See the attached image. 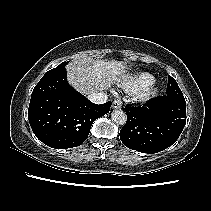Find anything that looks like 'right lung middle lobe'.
Here are the masks:
<instances>
[{
    "mask_svg": "<svg viewBox=\"0 0 211 211\" xmlns=\"http://www.w3.org/2000/svg\"><path fill=\"white\" fill-rule=\"evenodd\" d=\"M67 63H68V61L67 62L65 61V62L61 63L59 66H57L56 68L49 70L42 78L65 71V65Z\"/></svg>",
    "mask_w": 211,
    "mask_h": 211,
    "instance_id": "dd1d6c3e",
    "label": "right lung middle lobe"
}]
</instances>
